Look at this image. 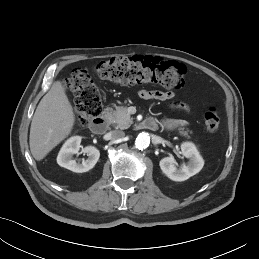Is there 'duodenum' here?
Returning <instances> with one entry per match:
<instances>
[{
    "instance_id": "410a0bca",
    "label": "duodenum",
    "mask_w": 259,
    "mask_h": 259,
    "mask_svg": "<svg viewBox=\"0 0 259 259\" xmlns=\"http://www.w3.org/2000/svg\"><path fill=\"white\" fill-rule=\"evenodd\" d=\"M108 126V117L105 114L98 115L90 124V128L94 133L103 134L106 132ZM157 123L152 119H146L139 124L141 129L154 130Z\"/></svg>"
}]
</instances>
